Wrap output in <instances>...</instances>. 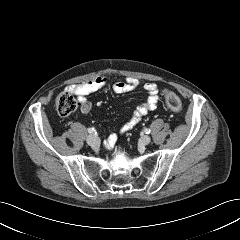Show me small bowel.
<instances>
[{
    "instance_id": "c3829d8e",
    "label": "small bowel",
    "mask_w": 240,
    "mask_h": 240,
    "mask_svg": "<svg viewBox=\"0 0 240 240\" xmlns=\"http://www.w3.org/2000/svg\"><path fill=\"white\" fill-rule=\"evenodd\" d=\"M142 85L145 92L148 94L147 99L140 104L132 113L130 119L121 127L120 133H126L133 129L149 111L155 109L158 102L159 90L155 84L141 83L135 78H126L123 81H113L108 77H98L84 83L70 85L68 90L76 95L80 102V110L83 114H88L91 111L92 104L87 99V96L104 89L108 86L116 93H128L137 90ZM117 140V134L112 133L106 141L107 147H113Z\"/></svg>"
}]
</instances>
